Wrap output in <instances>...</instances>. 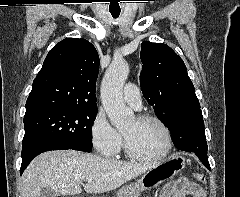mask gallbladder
<instances>
[{"mask_svg":"<svg viewBox=\"0 0 240 197\" xmlns=\"http://www.w3.org/2000/svg\"><path fill=\"white\" fill-rule=\"evenodd\" d=\"M40 197H57V193L52 188H43L40 192Z\"/></svg>","mask_w":240,"mask_h":197,"instance_id":"1","label":"gallbladder"}]
</instances>
